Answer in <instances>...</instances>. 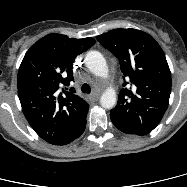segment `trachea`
<instances>
[{"instance_id":"3493384b","label":"trachea","mask_w":187,"mask_h":187,"mask_svg":"<svg viewBox=\"0 0 187 187\" xmlns=\"http://www.w3.org/2000/svg\"><path fill=\"white\" fill-rule=\"evenodd\" d=\"M81 91L83 93H90L91 92V88H90V86L88 84L85 83V84H83V86L81 88Z\"/></svg>"}]
</instances>
